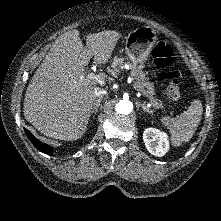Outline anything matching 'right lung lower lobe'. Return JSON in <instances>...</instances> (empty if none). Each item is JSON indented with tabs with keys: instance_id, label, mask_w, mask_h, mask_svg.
I'll list each match as a JSON object with an SVG mask.
<instances>
[{
	"instance_id": "98d812e1",
	"label": "right lung lower lobe",
	"mask_w": 221,
	"mask_h": 221,
	"mask_svg": "<svg viewBox=\"0 0 221 221\" xmlns=\"http://www.w3.org/2000/svg\"><path fill=\"white\" fill-rule=\"evenodd\" d=\"M25 132L30 139V141L33 143V145L41 152L47 154V155H52V148L40 140L36 139L27 129H25Z\"/></svg>"
}]
</instances>
